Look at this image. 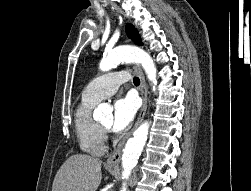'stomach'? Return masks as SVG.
Returning a JSON list of instances; mask_svg holds the SVG:
<instances>
[{"instance_id":"1","label":"stomach","mask_w":251,"mask_h":191,"mask_svg":"<svg viewBox=\"0 0 251 191\" xmlns=\"http://www.w3.org/2000/svg\"><path fill=\"white\" fill-rule=\"evenodd\" d=\"M106 169H109V171H113V169H115L114 165H111V167H107V165H105Z\"/></svg>"}]
</instances>
